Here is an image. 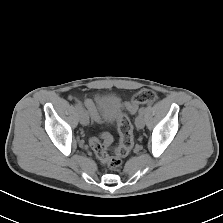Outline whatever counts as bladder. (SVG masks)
<instances>
[{
  "mask_svg": "<svg viewBox=\"0 0 223 223\" xmlns=\"http://www.w3.org/2000/svg\"><path fill=\"white\" fill-rule=\"evenodd\" d=\"M102 108L105 113V119L108 123H113L120 111V100L118 97H107L102 99Z\"/></svg>",
  "mask_w": 223,
  "mask_h": 223,
  "instance_id": "obj_1",
  "label": "bladder"
}]
</instances>
